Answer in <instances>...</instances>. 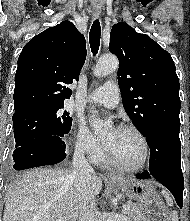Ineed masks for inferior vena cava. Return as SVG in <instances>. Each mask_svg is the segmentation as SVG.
I'll use <instances>...</instances> for the list:
<instances>
[{"label": "inferior vena cava", "mask_w": 190, "mask_h": 221, "mask_svg": "<svg viewBox=\"0 0 190 221\" xmlns=\"http://www.w3.org/2000/svg\"><path fill=\"white\" fill-rule=\"evenodd\" d=\"M84 147L76 145L73 156V171L71 177L74 179V185L81 194V203L79 207V221H99V213L95 203V197L90 190V180L93 169L84 156Z\"/></svg>", "instance_id": "1"}]
</instances>
